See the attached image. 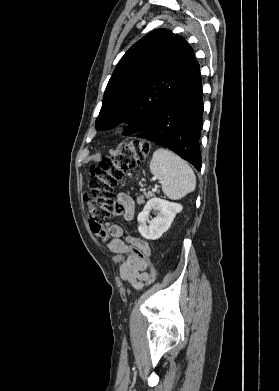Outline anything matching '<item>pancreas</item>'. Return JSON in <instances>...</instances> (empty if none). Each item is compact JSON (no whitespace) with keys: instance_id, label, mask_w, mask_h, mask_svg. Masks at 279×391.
I'll use <instances>...</instances> for the list:
<instances>
[{"instance_id":"obj_1","label":"pancreas","mask_w":279,"mask_h":391,"mask_svg":"<svg viewBox=\"0 0 279 391\" xmlns=\"http://www.w3.org/2000/svg\"><path fill=\"white\" fill-rule=\"evenodd\" d=\"M154 196H155V193H153V192L144 193V195L137 197V203L139 205H141V204H143L145 202L144 201V197L151 198V197H154Z\"/></svg>"}]
</instances>
